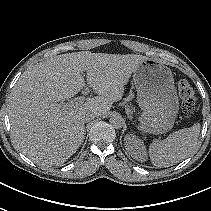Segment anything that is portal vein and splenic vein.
Returning <instances> with one entry per match:
<instances>
[{
	"instance_id": "obj_1",
	"label": "portal vein and splenic vein",
	"mask_w": 211,
	"mask_h": 211,
	"mask_svg": "<svg viewBox=\"0 0 211 211\" xmlns=\"http://www.w3.org/2000/svg\"><path fill=\"white\" fill-rule=\"evenodd\" d=\"M84 101H85V98L83 96H80V97H77L74 100H71L68 103H60L59 107L63 108V109H65V108H72V107L78 106L80 104H83Z\"/></svg>"
}]
</instances>
